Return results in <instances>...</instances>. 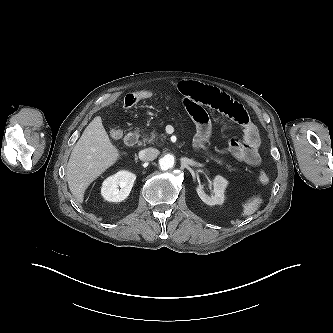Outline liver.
<instances>
[{
	"instance_id": "1",
	"label": "liver",
	"mask_w": 333,
	"mask_h": 333,
	"mask_svg": "<svg viewBox=\"0 0 333 333\" xmlns=\"http://www.w3.org/2000/svg\"><path fill=\"white\" fill-rule=\"evenodd\" d=\"M120 157L111 143L100 116L85 128L74 146L67 164V181L78 203L84 200L87 187Z\"/></svg>"
}]
</instances>
